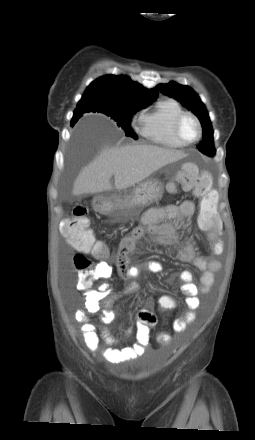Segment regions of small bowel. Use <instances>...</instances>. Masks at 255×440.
Here are the masks:
<instances>
[{"instance_id":"c3829d8e","label":"small bowel","mask_w":255,"mask_h":440,"mask_svg":"<svg viewBox=\"0 0 255 440\" xmlns=\"http://www.w3.org/2000/svg\"><path fill=\"white\" fill-rule=\"evenodd\" d=\"M194 214L195 204L191 201H184L179 205L171 204L152 208L143 215L142 226L132 229L121 240L115 254V259L118 274L126 282V285L120 292L111 295L104 302L103 315L101 317V321L104 324H108L113 320V306L120 297L136 293L140 290V284L136 281L140 274V268L129 263L128 255L134 250L136 243L144 238L159 245L176 248V255L179 260L192 264L202 272L199 285L193 282V274L189 270H183L177 275L178 280L181 282L180 290L185 296L187 307L191 311L200 307L198 295L211 291L214 284V273L220 269L221 264L213 257L206 258L197 254L191 244L181 243L177 230L178 223L192 217ZM162 221L167 222L160 223ZM97 256L102 258L97 264L102 274L100 279H107L111 276V265L105 259L106 255ZM145 267L153 273H159L163 270L162 264L158 261H149ZM174 278L172 277L171 280H174ZM101 296L102 293L100 292H91L88 295L87 309L89 311H98L97 300ZM159 298L173 297L171 295H162ZM193 318V312H189L185 318L177 319L173 324L174 331L177 333L184 331L187 324ZM74 319L81 324L83 340L88 349L91 351L98 350L101 339L109 344V347L103 351V357L110 362H118L143 353L150 344V327L156 323V316L152 311L151 305L141 308L137 313L136 344L131 347H118L117 340L107 331H103L101 334L97 332L96 327L84 310H77L74 314Z\"/></svg>"}]
</instances>
